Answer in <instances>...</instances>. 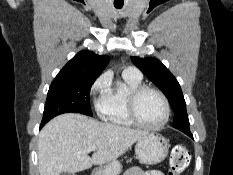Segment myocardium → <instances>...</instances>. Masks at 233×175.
Segmentation results:
<instances>
[{"instance_id":"1","label":"myocardium","mask_w":233,"mask_h":175,"mask_svg":"<svg viewBox=\"0 0 233 175\" xmlns=\"http://www.w3.org/2000/svg\"><path fill=\"white\" fill-rule=\"evenodd\" d=\"M146 91H152L156 93L162 100L164 109H165V114L163 120L157 124V125H147L143 123L138 116L137 113V102L139 97ZM127 112L128 115L131 119V121L138 127L145 129V130H150V131H156L162 129L167 122L169 121L170 118V103L166 95L158 88L153 87V86H148V85H140L134 89H132L127 98Z\"/></svg>"}]
</instances>
